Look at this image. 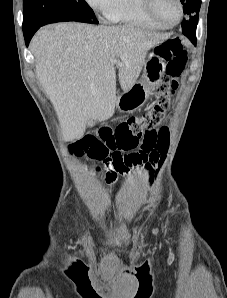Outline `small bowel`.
I'll use <instances>...</instances> for the list:
<instances>
[{"label": "small bowel", "instance_id": "1", "mask_svg": "<svg viewBox=\"0 0 227 298\" xmlns=\"http://www.w3.org/2000/svg\"><path fill=\"white\" fill-rule=\"evenodd\" d=\"M83 138L75 139L69 150L78 158H95L99 164L94 167V171L105 169V180L109 187L119 176L133 178L135 169L152 171L153 165L160 160V157L153 158L150 153L141 150L134 153L131 150H110L105 139H96V134H84ZM107 197L110 198L109 190Z\"/></svg>", "mask_w": 227, "mask_h": 298}]
</instances>
